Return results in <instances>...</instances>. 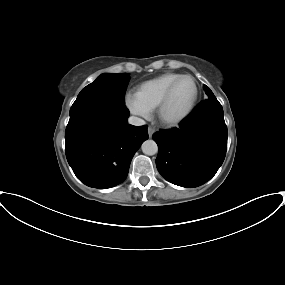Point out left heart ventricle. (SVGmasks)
I'll use <instances>...</instances> for the list:
<instances>
[{
    "label": "left heart ventricle",
    "instance_id": "left-heart-ventricle-1",
    "mask_svg": "<svg viewBox=\"0 0 285 285\" xmlns=\"http://www.w3.org/2000/svg\"><path fill=\"white\" fill-rule=\"evenodd\" d=\"M195 93V87L191 79H182L173 90L165 109V115L175 118L184 113L190 106Z\"/></svg>",
    "mask_w": 285,
    "mask_h": 285
}]
</instances>
